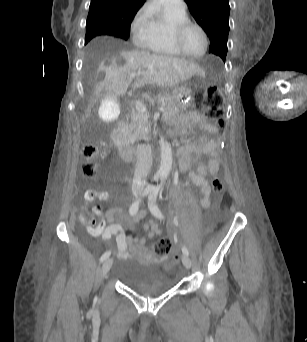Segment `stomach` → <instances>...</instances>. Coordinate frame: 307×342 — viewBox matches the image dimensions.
I'll use <instances>...</instances> for the list:
<instances>
[{
	"label": "stomach",
	"instance_id": "obj_1",
	"mask_svg": "<svg viewBox=\"0 0 307 342\" xmlns=\"http://www.w3.org/2000/svg\"><path fill=\"white\" fill-rule=\"evenodd\" d=\"M201 82L202 75L196 74L174 88L172 98L178 109H187L193 101L195 93L200 88Z\"/></svg>",
	"mask_w": 307,
	"mask_h": 342
}]
</instances>
